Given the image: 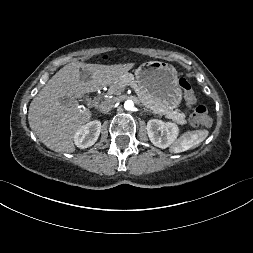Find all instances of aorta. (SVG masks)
<instances>
[{
  "mask_svg": "<svg viewBox=\"0 0 253 253\" xmlns=\"http://www.w3.org/2000/svg\"><path fill=\"white\" fill-rule=\"evenodd\" d=\"M133 107H134V103H133L132 100H127V101H125V103H124V108H125L126 110H132Z\"/></svg>",
  "mask_w": 253,
  "mask_h": 253,
  "instance_id": "1",
  "label": "aorta"
}]
</instances>
